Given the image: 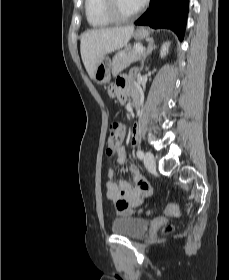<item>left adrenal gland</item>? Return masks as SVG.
Instances as JSON below:
<instances>
[{"label": "left adrenal gland", "mask_w": 229, "mask_h": 280, "mask_svg": "<svg viewBox=\"0 0 229 280\" xmlns=\"http://www.w3.org/2000/svg\"><path fill=\"white\" fill-rule=\"evenodd\" d=\"M156 48V45L154 44V41H151L146 49V51L143 54V59H142V63H141V67H140V71L143 69L144 67V61L146 60V58L148 57V55H150L152 53V51Z\"/></svg>", "instance_id": "left-adrenal-gland-1"}]
</instances>
